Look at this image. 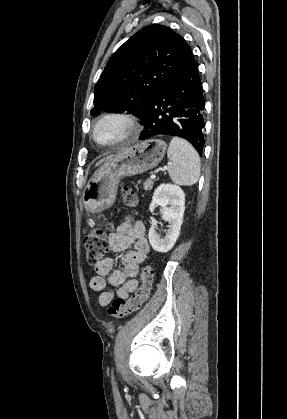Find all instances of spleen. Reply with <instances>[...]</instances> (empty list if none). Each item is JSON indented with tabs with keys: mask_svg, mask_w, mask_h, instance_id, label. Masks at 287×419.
<instances>
[{
	"mask_svg": "<svg viewBox=\"0 0 287 419\" xmlns=\"http://www.w3.org/2000/svg\"><path fill=\"white\" fill-rule=\"evenodd\" d=\"M167 157V170L174 183L183 186L197 183L201 168L200 157L189 142L179 137L172 138Z\"/></svg>",
	"mask_w": 287,
	"mask_h": 419,
	"instance_id": "spleen-1",
	"label": "spleen"
}]
</instances>
